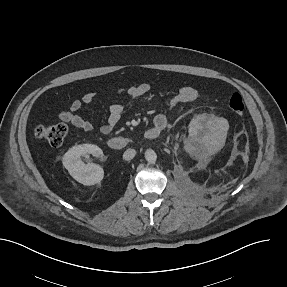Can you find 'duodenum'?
Here are the masks:
<instances>
[{
    "label": "duodenum",
    "instance_id": "obj_1",
    "mask_svg": "<svg viewBox=\"0 0 287 287\" xmlns=\"http://www.w3.org/2000/svg\"><path fill=\"white\" fill-rule=\"evenodd\" d=\"M161 131H162V129L154 126L152 128L147 129L145 131L144 136H145V138H147L149 140H154V139L158 138ZM128 144H129V141L125 137H112L107 141V146L113 150H121V149L127 147Z\"/></svg>",
    "mask_w": 287,
    "mask_h": 287
}]
</instances>
